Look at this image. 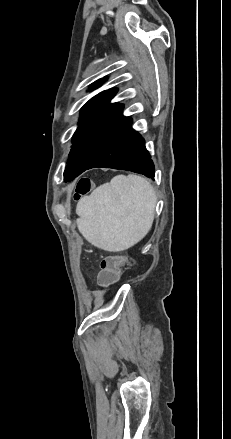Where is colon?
<instances>
[{"mask_svg":"<svg viewBox=\"0 0 231 439\" xmlns=\"http://www.w3.org/2000/svg\"><path fill=\"white\" fill-rule=\"evenodd\" d=\"M91 190V181L88 178H81L75 188L74 198L80 199ZM126 266V258L122 255H109L100 262V273L96 279L103 292L108 293L113 285H118L121 279L120 273Z\"/></svg>","mask_w":231,"mask_h":439,"instance_id":"1","label":"colon"}]
</instances>
